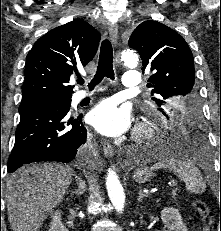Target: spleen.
<instances>
[{"mask_svg": "<svg viewBox=\"0 0 221 231\" xmlns=\"http://www.w3.org/2000/svg\"><path fill=\"white\" fill-rule=\"evenodd\" d=\"M168 169L186 184V189L194 194H201L206 190V182L200 170L190 159L164 158L155 163L151 170Z\"/></svg>", "mask_w": 221, "mask_h": 231, "instance_id": "1", "label": "spleen"}]
</instances>
